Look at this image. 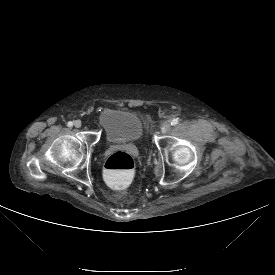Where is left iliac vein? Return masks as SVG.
Returning a JSON list of instances; mask_svg holds the SVG:
<instances>
[{
    "label": "left iliac vein",
    "instance_id": "obj_1",
    "mask_svg": "<svg viewBox=\"0 0 275 275\" xmlns=\"http://www.w3.org/2000/svg\"><path fill=\"white\" fill-rule=\"evenodd\" d=\"M171 128L170 122H164L161 124V132L162 133H167Z\"/></svg>",
    "mask_w": 275,
    "mask_h": 275
}]
</instances>
